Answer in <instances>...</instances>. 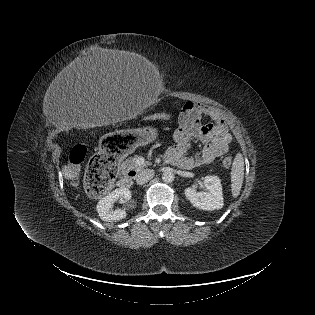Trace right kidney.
Wrapping results in <instances>:
<instances>
[{
  "label": "right kidney",
  "mask_w": 315,
  "mask_h": 315,
  "mask_svg": "<svg viewBox=\"0 0 315 315\" xmlns=\"http://www.w3.org/2000/svg\"><path fill=\"white\" fill-rule=\"evenodd\" d=\"M119 199L123 202L130 200L131 191L127 188H118L99 200L96 210L103 221H119L126 217L125 210L112 209L113 203Z\"/></svg>",
  "instance_id": "1"
}]
</instances>
